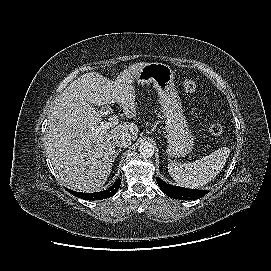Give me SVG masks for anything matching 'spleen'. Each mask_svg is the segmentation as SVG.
Here are the masks:
<instances>
[{
  "label": "spleen",
  "mask_w": 271,
  "mask_h": 271,
  "mask_svg": "<svg viewBox=\"0 0 271 271\" xmlns=\"http://www.w3.org/2000/svg\"><path fill=\"white\" fill-rule=\"evenodd\" d=\"M230 149L219 148L208 156L188 163H174L168 165L170 176L181 186L199 188L215 178L223 169Z\"/></svg>",
  "instance_id": "spleen-1"
}]
</instances>
